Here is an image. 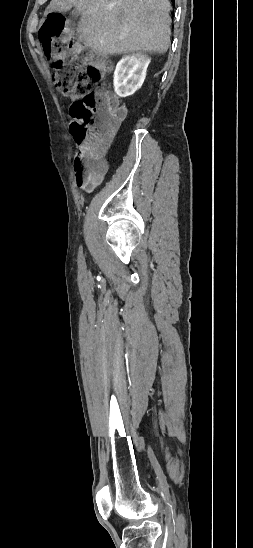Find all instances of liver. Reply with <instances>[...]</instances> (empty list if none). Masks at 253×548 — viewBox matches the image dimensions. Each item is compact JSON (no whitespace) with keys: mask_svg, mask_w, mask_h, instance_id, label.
Wrapping results in <instances>:
<instances>
[{"mask_svg":"<svg viewBox=\"0 0 253 548\" xmlns=\"http://www.w3.org/2000/svg\"><path fill=\"white\" fill-rule=\"evenodd\" d=\"M72 7L81 15L78 32L84 45L101 56L168 50V0H51L46 13Z\"/></svg>","mask_w":253,"mask_h":548,"instance_id":"obj_1","label":"liver"}]
</instances>
